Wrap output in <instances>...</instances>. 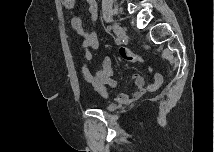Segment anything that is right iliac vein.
Masks as SVG:
<instances>
[{
	"label": "right iliac vein",
	"mask_w": 215,
	"mask_h": 152,
	"mask_svg": "<svg viewBox=\"0 0 215 152\" xmlns=\"http://www.w3.org/2000/svg\"><path fill=\"white\" fill-rule=\"evenodd\" d=\"M113 30H114V33L116 34V36L118 37L119 40L125 39L126 33L120 25L114 24Z\"/></svg>",
	"instance_id": "obj_1"
}]
</instances>
